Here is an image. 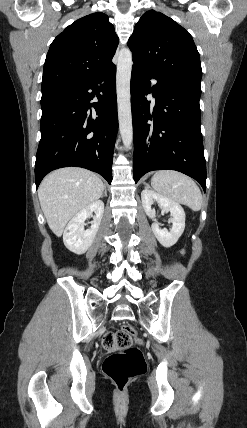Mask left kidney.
<instances>
[{"label": "left kidney", "mask_w": 247, "mask_h": 428, "mask_svg": "<svg viewBox=\"0 0 247 428\" xmlns=\"http://www.w3.org/2000/svg\"><path fill=\"white\" fill-rule=\"evenodd\" d=\"M141 200L145 213L153 219L152 231L155 234L159 243L169 248L173 246L182 235L185 229V212L180 204L168 199L153 190L145 188L141 192ZM154 202H157L162 210V213L170 212L172 228L170 231L161 229L156 220L155 209L151 206Z\"/></svg>", "instance_id": "5707ae66"}]
</instances>
